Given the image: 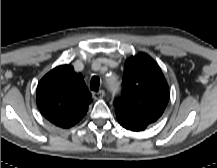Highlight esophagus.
Segmentation results:
<instances>
[{
	"label": "esophagus",
	"mask_w": 217,
	"mask_h": 168,
	"mask_svg": "<svg viewBox=\"0 0 217 168\" xmlns=\"http://www.w3.org/2000/svg\"><path fill=\"white\" fill-rule=\"evenodd\" d=\"M104 96H105V91L104 90H99L98 92L93 93V98L95 100L102 99Z\"/></svg>",
	"instance_id": "esophagus-1"
}]
</instances>
